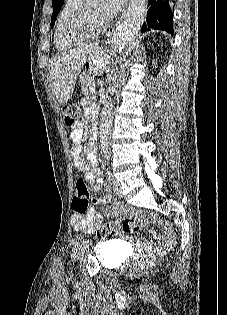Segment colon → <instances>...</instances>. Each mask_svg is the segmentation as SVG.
<instances>
[{
	"instance_id": "1",
	"label": "colon",
	"mask_w": 227,
	"mask_h": 315,
	"mask_svg": "<svg viewBox=\"0 0 227 315\" xmlns=\"http://www.w3.org/2000/svg\"><path fill=\"white\" fill-rule=\"evenodd\" d=\"M64 121L67 126H74L79 116V109L76 105L69 104L63 108ZM100 200L91 199L87 184L83 179H79L75 185V194L72 200V212L74 214L83 215L92 205H99ZM149 221L148 217L141 219H116L100 226L96 232L101 238H108L116 235L120 230L126 233H134L140 231ZM153 264L151 256H139L135 266L138 272L147 270Z\"/></svg>"
}]
</instances>
